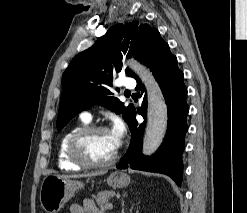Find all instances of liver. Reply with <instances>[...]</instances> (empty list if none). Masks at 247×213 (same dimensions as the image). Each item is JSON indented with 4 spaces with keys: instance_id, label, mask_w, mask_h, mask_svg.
Returning a JSON list of instances; mask_svg holds the SVG:
<instances>
[{
    "instance_id": "1",
    "label": "liver",
    "mask_w": 247,
    "mask_h": 213,
    "mask_svg": "<svg viewBox=\"0 0 247 213\" xmlns=\"http://www.w3.org/2000/svg\"><path fill=\"white\" fill-rule=\"evenodd\" d=\"M103 174H105V172L99 171V172H92V173H89V174L62 175V176H59V177L69 179V178H82V177L98 176V175H103Z\"/></svg>"
}]
</instances>
